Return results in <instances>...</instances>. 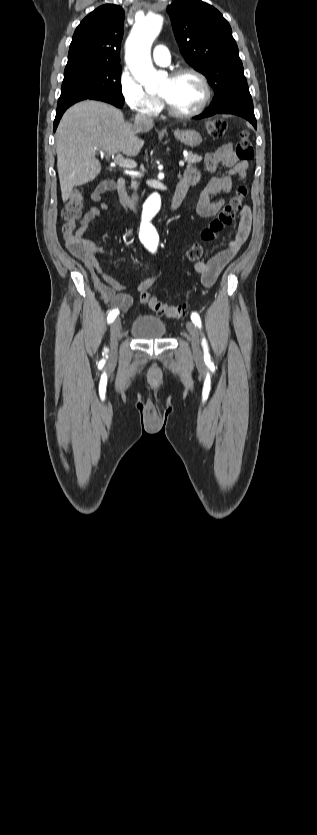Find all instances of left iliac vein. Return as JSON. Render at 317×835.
Instances as JSON below:
<instances>
[{"instance_id": "obj_1", "label": "left iliac vein", "mask_w": 317, "mask_h": 835, "mask_svg": "<svg viewBox=\"0 0 317 835\" xmlns=\"http://www.w3.org/2000/svg\"><path fill=\"white\" fill-rule=\"evenodd\" d=\"M186 329L188 332L189 340L191 341L193 353L195 356H199L201 354V350L197 328L191 321H188L186 323Z\"/></svg>"}]
</instances>
